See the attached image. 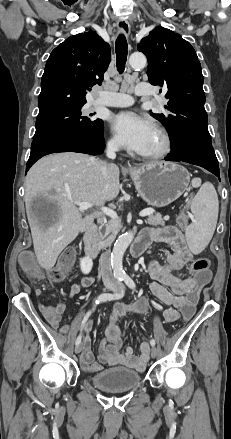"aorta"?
I'll list each match as a JSON object with an SVG mask.
<instances>
[{"instance_id":"762f6f07","label":"aorta","mask_w":231,"mask_h":439,"mask_svg":"<svg viewBox=\"0 0 231 439\" xmlns=\"http://www.w3.org/2000/svg\"><path fill=\"white\" fill-rule=\"evenodd\" d=\"M147 59L144 54L140 52L133 53L129 58V64L133 69H141L146 65ZM134 238L133 232H126L122 234L115 242L111 254V265L115 278L126 276L123 269V256Z\"/></svg>"}]
</instances>
